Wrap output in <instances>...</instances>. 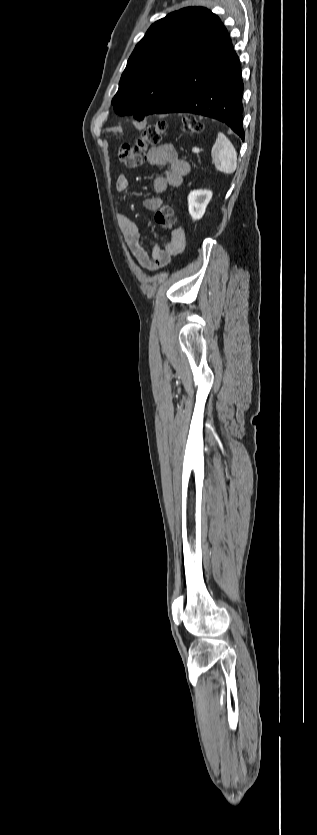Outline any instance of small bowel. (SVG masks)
<instances>
[{"mask_svg":"<svg viewBox=\"0 0 317 835\" xmlns=\"http://www.w3.org/2000/svg\"><path fill=\"white\" fill-rule=\"evenodd\" d=\"M147 158L151 165L165 167L164 173L153 180V191L156 194L166 192L170 186H180L184 176L190 171L189 163L180 159L175 147L168 143L152 147ZM129 188L128 177L124 174L119 175L116 181L117 191L125 193ZM161 204L162 199L159 196L144 200V206L149 211L158 210ZM117 221L127 245L144 270L154 272L166 266L173 256L181 254L184 250L185 233L182 228L172 233L164 249L154 246L151 251H147L142 243L141 231L136 222L124 214H118Z\"/></svg>","mask_w":317,"mask_h":835,"instance_id":"c3829d8e","label":"small bowel"}]
</instances>
